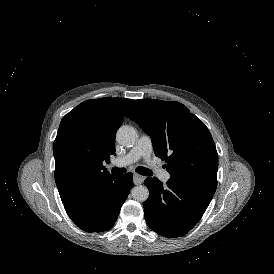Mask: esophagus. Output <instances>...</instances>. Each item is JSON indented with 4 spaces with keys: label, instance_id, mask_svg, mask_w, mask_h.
<instances>
[{
    "label": "esophagus",
    "instance_id": "1",
    "mask_svg": "<svg viewBox=\"0 0 274 274\" xmlns=\"http://www.w3.org/2000/svg\"><path fill=\"white\" fill-rule=\"evenodd\" d=\"M143 181H144V177L143 176H141V175H139L137 173L133 174V182H134L135 185H140V184L143 183Z\"/></svg>",
    "mask_w": 274,
    "mask_h": 274
}]
</instances>
